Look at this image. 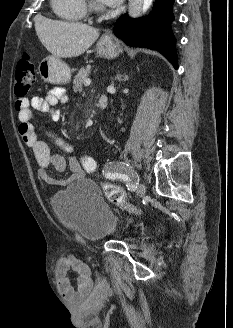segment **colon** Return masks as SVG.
Here are the masks:
<instances>
[{"label": "colon", "instance_id": "obj_1", "mask_svg": "<svg viewBox=\"0 0 233 328\" xmlns=\"http://www.w3.org/2000/svg\"><path fill=\"white\" fill-rule=\"evenodd\" d=\"M36 77V70L33 62L28 54H24L17 63L16 74H15V94L19 97L25 96L32 88ZM84 164L89 171L94 170L95 163L92 159L86 158ZM103 191L106 198L117 205L125 206L130 208L126 200L123 189L110 182L103 184Z\"/></svg>", "mask_w": 233, "mask_h": 328}]
</instances>
